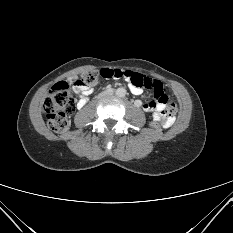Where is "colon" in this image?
Wrapping results in <instances>:
<instances>
[{"mask_svg":"<svg viewBox=\"0 0 233 233\" xmlns=\"http://www.w3.org/2000/svg\"><path fill=\"white\" fill-rule=\"evenodd\" d=\"M108 78H125L135 87L152 90L154 93L153 101L157 104H163L164 114L170 119L178 111L177 104L173 100H168L159 81L139 73L105 68L84 73L78 82L83 86H91L101 79ZM44 107L48 125L52 131L63 133L69 129V114L74 110L75 100L66 82H59L52 87ZM161 125L164 126V122L157 118H154L151 123L153 128H159Z\"/></svg>","mask_w":233,"mask_h":233,"instance_id":"obj_1","label":"colon"}]
</instances>
